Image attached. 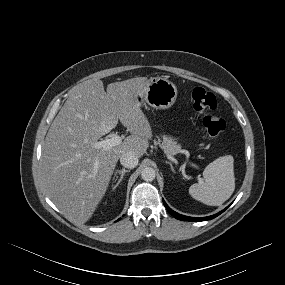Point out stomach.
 Segmentation results:
<instances>
[{
	"mask_svg": "<svg viewBox=\"0 0 285 285\" xmlns=\"http://www.w3.org/2000/svg\"><path fill=\"white\" fill-rule=\"evenodd\" d=\"M177 87L162 77L150 78L139 93V103H147L155 109H168L176 101Z\"/></svg>",
	"mask_w": 285,
	"mask_h": 285,
	"instance_id": "obj_1",
	"label": "stomach"
}]
</instances>
